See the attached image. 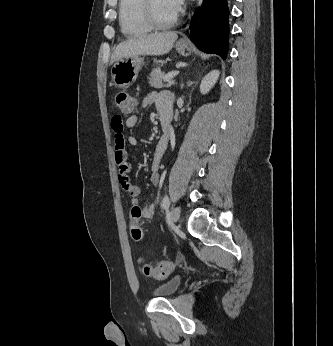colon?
<instances>
[{"mask_svg":"<svg viewBox=\"0 0 333 346\" xmlns=\"http://www.w3.org/2000/svg\"><path fill=\"white\" fill-rule=\"evenodd\" d=\"M115 103L118 111V114L116 116H118L121 120H123L124 117L131 115L135 107L134 98L126 92H118L115 96ZM140 216V208H132V219L138 220ZM131 237L135 242H139L142 239V231L137 225L132 226ZM172 270L173 265L170 261H161L156 264H146L143 267V272L145 275L154 277L156 279H163L167 277L172 272Z\"/></svg>","mask_w":333,"mask_h":346,"instance_id":"obj_1","label":"colon"}]
</instances>
